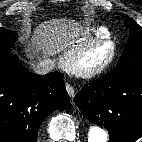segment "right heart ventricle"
Wrapping results in <instances>:
<instances>
[{"instance_id": "right-heart-ventricle-1", "label": "right heart ventricle", "mask_w": 142, "mask_h": 142, "mask_svg": "<svg viewBox=\"0 0 142 142\" xmlns=\"http://www.w3.org/2000/svg\"><path fill=\"white\" fill-rule=\"evenodd\" d=\"M108 35H109L108 29L102 26L88 27L81 33L82 39H88L97 36H108Z\"/></svg>"}]
</instances>
